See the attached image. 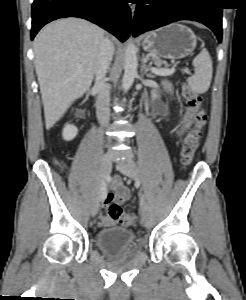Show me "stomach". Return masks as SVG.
<instances>
[{
    "label": "stomach",
    "mask_w": 246,
    "mask_h": 300,
    "mask_svg": "<svg viewBox=\"0 0 246 300\" xmlns=\"http://www.w3.org/2000/svg\"><path fill=\"white\" fill-rule=\"evenodd\" d=\"M197 37L187 26L172 23L146 34L142 41L143 49L155 57L181 59L192 53Z\"/></svg>",
    "instance_id": "1"
}]
</instances>
